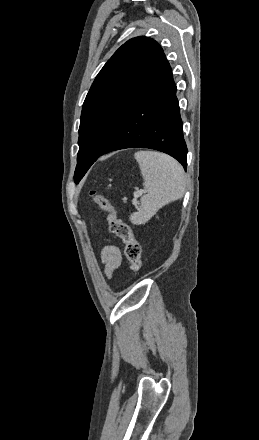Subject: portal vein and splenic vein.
Segmentation results:
<instances>
[{
  "instance_id": "obj_1",
  "label": "portal vein and splenic vein",
  "mask_w": 259,
  "mask_h": 440,
  "mask_svg": "<svg viewBox=\"0 0 259 440\" xmlns=\"http://www.w3.org/2000/svg\"><path fill=\"white\" fill-rule=\"evenodd\" d=\"M146 191L145 190H140L138 192L134 193V200H136L138 197H140L142 194H144Z\"/></svg>"
}]
</instances>
